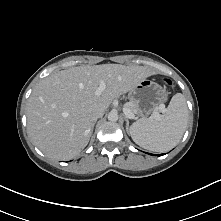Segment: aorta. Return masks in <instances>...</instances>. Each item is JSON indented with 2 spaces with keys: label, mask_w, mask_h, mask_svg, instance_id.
Returning <instances> with one entry per match:
<instances>
[{
  "label": "aorta",
  "mask_w": 221,
  "mask_h": 221,
  "mask_svg": "<svg viewBox=\"0 0 221 221\" xmlns=\"http://www.w3.org/2000/svg\"><path fill=\"white\" fill-rule=\"evenodd\" d=\"M118 118H119L118 113L115 111H111L108 114V120L111 122H116L118 120Z\"/></svg>",
  "instance_id": "762f6f07"
}]
</instances>
